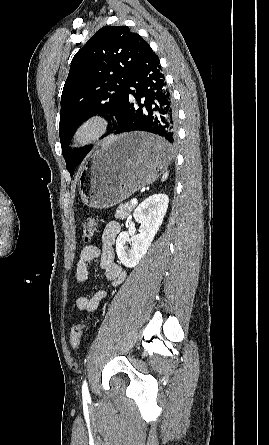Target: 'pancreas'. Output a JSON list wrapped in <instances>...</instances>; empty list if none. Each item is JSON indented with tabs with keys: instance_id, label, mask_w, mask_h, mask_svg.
I'll use <instances>...</instances> for the list:
<instances>
[{
	"instance_id": "cf45deb5",
	"label": "pancreas",
	"mask_w": 269,
	"mask_h": 445,
	"mask_svg": "<svg viewBox=\"0 0 269 445\" xmlns=\"http://www.w3.org/2000/svg\"><path fill=\"white\" fill-rule=\"evenodd\" d=\"M135 208V205H133L130 202H126L124 204L119 205L118 209L116 210L115 217L117 219H125L131 211Z\"/></svg>"
}]
</instances>
